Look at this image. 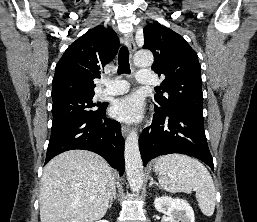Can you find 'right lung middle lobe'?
Masks as SVG:
<instances>
[{
	"instance_id": "right-lung-middle-lobe-1",
	"label": "right lung middle lobe",
	"mask_w": 257,
	"mask_h": 222,
	"mask_svg": "<svg viewBox=\"0 0 257 222\" xmlns=\"http://www.w3.org/2000/svg\"><path fill=\"white\" fill-rule=\"evenodd\" d=\"M93 96H78L53 101L52 125L72 118H94L99 116L105 111L107 105L100 102L93 103Z\"/></svg>"
}]
</instances>
